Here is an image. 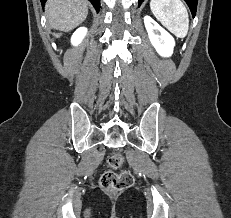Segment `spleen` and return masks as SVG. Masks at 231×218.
I'll list each match as a JSON object with an SVG mask.
<instances>
[{
  "mask_svg": "<svg viewBox=\"0 0 231 218\" xmlns=\"http://www.w3.org/2000/svg\"><path fill=\"white\" fill-rule=\"evenodd\" d=\"M155 17L175 36L184 38L189 29L188 12L181 0H151Z\"/></svg>",
  "mask_w": 231,
  "mask_h": 218,
  "instance_id": "3e777b00",
  "label": "spleen"
}]
</instances>
